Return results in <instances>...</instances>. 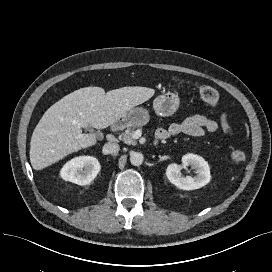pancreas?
Instances as JSON below:
<instances>
[{"label":"pancreas","mask_w":272,"mask_h":272,"mask_svg":"<svg viewBox=\"0 0 272 272\" xmlns=\"http://www.w3.org/2000/svg\"><path fill=\"white\" fill-rule=\"evenodd\" d=\"M136 128V126H130L125 130L124 133L121 134V138L126 144H136V141L133 138V133Z\"/></svg>","instance_id":"pancreas-1"}]
</instances>
